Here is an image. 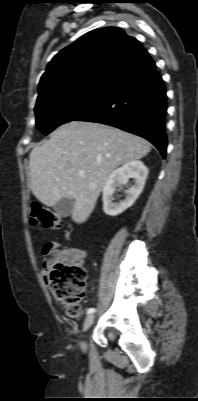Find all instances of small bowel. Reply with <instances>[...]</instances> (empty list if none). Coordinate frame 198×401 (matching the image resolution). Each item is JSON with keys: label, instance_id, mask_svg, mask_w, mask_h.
I'll return each mask as SVG.
<instances>
[{"label": "small bowel", "instance_id": "1", "mask_svg": "<svg viewBox=\"0 0 198 401\" xmlns=\"http://www.w3.org/2000/svg\"><path fill=\"white\" fill-rule=\"evenodd\" d=\"M42 263L41 274L47 279L53 266L59 262L82 260L87 257V252L78 247L61 249L59 244L47 242L41 249Z\"/></svg>", "mask_w": 198, "mask_h": 401}]
</instances>
